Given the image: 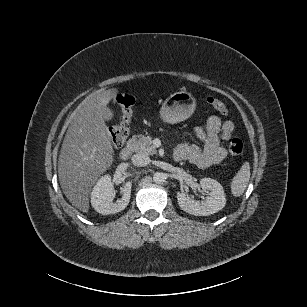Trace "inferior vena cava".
<instances>
[{
  "label": "inferior vena cava",
  "instance_id": "obj_1",
  "mask_svg": "<svg viewBox=\"0 0 307 307\" xmlns=\"http://www.w3.org/2000/svg\"><path fill=\"white\" fill-rule=\"evenodd\" d=\"M132 163L135 166H146L149 163V158L141 153L132 156Z\"/></svg>",
  "mask_w": 307,
  "mask_h": 307
}]
</instances>
